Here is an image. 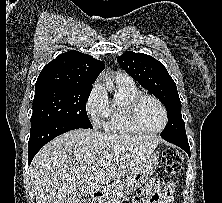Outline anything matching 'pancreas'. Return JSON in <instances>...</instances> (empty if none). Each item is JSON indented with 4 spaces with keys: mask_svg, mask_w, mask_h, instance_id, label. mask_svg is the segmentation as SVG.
Listing matches in <instances>:
<instances>
[{
    "mask_svg": "<svg viewBox=\"0 0 222 203\" xmlns=\"http://www.w3.org/2000/svg\"><path fill=\"white\" fill-rule=\"evenodd\" d=\"M120 194H121V189L119 188V185L113 186L109 191V196L111 200L120 198ZM107 203H114V202H107Z\"/></svg>",
    "mask_w": 222,
    "mask_h": 203,
    "instance_id": "1",
    "label": "pancreas"
}]
</instances>
